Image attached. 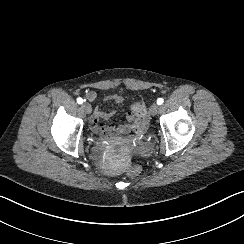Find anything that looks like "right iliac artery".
Wrapping results in <instances>:
<instances>
[{"label": "right iliac artery", "instance_id": "1", "mask_svg": "<svg viewBox=\"0 0 244 244\" xmlns=\"http://www.w3.org/2000/svg\"><path fill=\"white\" fill-rule=\"evenodd\" d=\"M77 102H78V104H82L83 103V99L82 98H77Z\"/></svg>", "mask_w": 244, "mask_h": 244}]
</instances>
